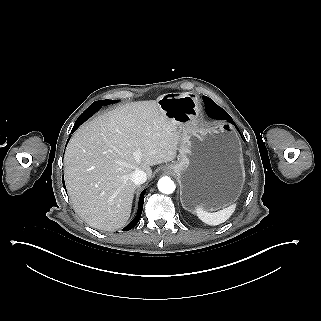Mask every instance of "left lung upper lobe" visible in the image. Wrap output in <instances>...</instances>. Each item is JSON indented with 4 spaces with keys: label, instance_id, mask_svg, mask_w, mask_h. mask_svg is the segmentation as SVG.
<instances>
[{
    "label": "left lung upper lobe",
    "instance_id": "obj_1",
    "mask_svg": "<svg viewBox=\"0 0 321 321\" xmlns=\"http://www.w3.org/2000/svg\"><path fill=\"white\" fill-rule=\"evenodd\" d=\"M203 100H204L205 104H209V105H212V106H217L210 98H208L206 96H203Z\"/></svg>",
    "mask_w": 321,
    "mask_h": 321
}]
</instances>
